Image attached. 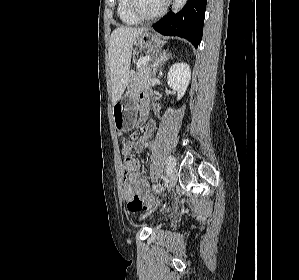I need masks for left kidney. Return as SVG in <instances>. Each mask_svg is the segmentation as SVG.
<instances>
[{
  "mask_svg": "<svg viewBox=\"0 0 299 280\" xmlns=\"http://www.w3.org/2000/svg\"><path fill=\"white\" fill-rule=\"evenodd\" d=\"M191 77V70L186 63H175L171 66L167 75V82L177 92V100H180L186 92Z\"/></svg>",
  "mask_w": 299,
  "mask_h": 280,
  "instance_id": "left-kidney-1",
  "label": "left kidney"
}]
</instances>
